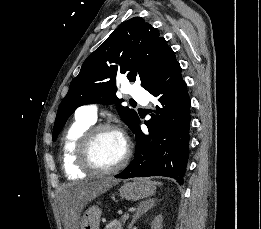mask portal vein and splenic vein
Instances as JSON below:
<instances>
[{"mask_svg": "<svg viewBox=\"0 0 261 229\" xmlns=\"http://www.w3.org/2000/svg\"><path fill=\"white\" fill-rule=\"evenodd\" d=\"M123 217H125V219H123V222H127V219H129V215H123Z\"/></svg>", "mask_w": 261, "mask_h": 229, "instance_id": "portal-vein-and-splenic-vein-1", "label": "portal vein and splenic vein"}]
</instances>
